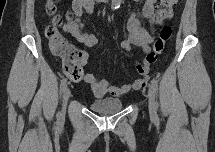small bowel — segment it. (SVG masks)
<instances>
[{
    "label": "small bowel",
    "mask_w": 215,
    "mask_h": 152,
    "mask_svg": "<svg viewBox=\"0 0 215 152\" xmlns=\"http://www.w3.org/2000/svg\"><path fill=\"white\" fill-rule=\"evenodd\" d=\"M155 6L156 0H145L142 6V14L151 26H153ZM92 11V0H73L69 6L71 17L64 24V30L83 46V65L88 59V53L86 50L97 46L99 43V39L94 34L85 30V18ZM153 39V33L148 32L140 24L135 14H131L127 22V35L121 42L122 49L125 51H130L133 48H141L144 52H148ZM148 79V75L144 74L142 78L115 86L104 78L98 79L90 73L83 72V76L79 80L74 81L83 80L85 83L90 85L96 97L102 98L107 95L121 96L132 90L141 89L146 85Z\"/></svg>",
    "instance_id": "small-bowel-1"
}]
</instances>
